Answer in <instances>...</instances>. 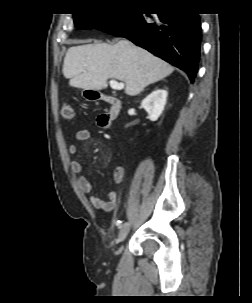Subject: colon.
Instances as JSON below:
<instances>
[{"mask_svg":"<svg viewBox=\"0 0 252 303\" xmlns=\"http://www.w3.org/2000/svg\"><path fill=\"white\" fill-rule=\"evenodd\" d=\"M61 117L65 120H71L74 117V109L72 105L68 102H65L60 111Z\"/></svg>","mask_w":252,"mask_h":303,"instance_id":"colon-1","label":"colon"}]
</instances>
